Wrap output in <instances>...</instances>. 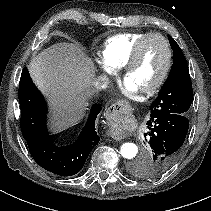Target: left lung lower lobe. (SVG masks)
Instances as JSON below:
<instances>
[{
    "label": "left lung lower lobe",
    "mask_w": 211,
    "mask_h": 211,
    "mask_svg": "<svg viewBox=\"0 0 211 211\" xmlns=\"http://www.w3.org/2000/svg\"><path fill=\"white\" fill-rule=\"evenodd\" d=\"M149 132L144 134L151 150V158L145 167L149 177L166 171L177 160L185 141L189 120L186 116L162 113L147 121Z\"/></svg>",
    "instance_id": "obj_1"
}]
</instances>
